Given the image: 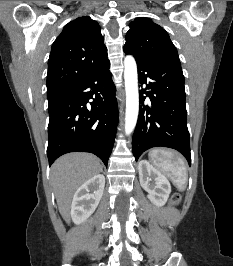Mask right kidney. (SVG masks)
<instances>
[{"label": "right kidney", "instance_id": "obj_1", "mask_svg": "<svg viewBox=\"0 0 233 266\" xmlns=\"http://www.w3.org/2000/svg\"><path fill=\"white\" fill-rule=\"evenodd\" d=\"M105 177L97 174L75 192L71 204V218L75 224L86 221L97 208L104 191Z\"/></svg>", "mask_w": 233, "mask_h": 266}]
</instances>
